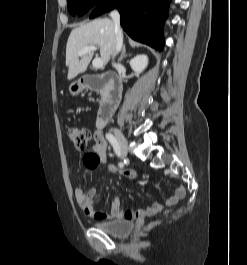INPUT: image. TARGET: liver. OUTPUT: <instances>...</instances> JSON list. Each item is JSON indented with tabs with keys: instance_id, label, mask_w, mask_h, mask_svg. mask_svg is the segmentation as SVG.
<instances>
[{
	"instance_id": "liver-1",
	"label": "liver",
	"mask_w": 247,
	"mask_h": 265,
	"mask_svg": "<svg viewBox=\"0 0 247 265\" xmlns=\"http://www.w3.org/2000/svg\"><path fill=\"white\" fill-rule=\"evenodd\" d=\"M92 45L99 47L101 59L104 64H107L115 46V26L112 20L96 19L71 31L66 46L68 80H72L78 74L86 71L93 57V51L83 56H79L78 52Z\"/></svg>"
}]
</instances>
